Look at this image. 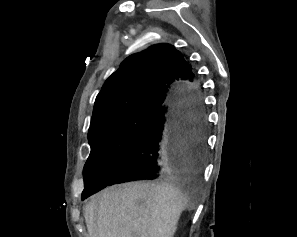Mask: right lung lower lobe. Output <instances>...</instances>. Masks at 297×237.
<instances>
[{
	"mask_svg": "<svg viewBox=\"0 0 297 237\" xmlns=\"http://www.w3.org/2000/svg\"><path fill=\"white\" fill-rule=\"evenodd\" d=\"M206 129L201 86L194 76L192 82L175 87L169 102L151 113L105 187L199 173L205 162Z\"/></svg>",
	"mask_w": 297,
	"mask_h": 237,
	"instance_id": "obj_1",
	"label": "right lung lower lobe"
}]
</instances>
